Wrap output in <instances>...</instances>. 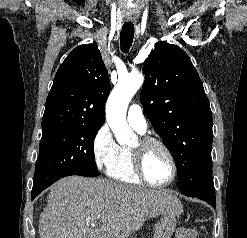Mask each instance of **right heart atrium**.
<instances>
[{"mask_svg": "<svg viewBox=\"0 0 247 238\" xmlns=\"http://www.w3.org/2000/svg\"><path fill=\"white\" fill-rule=\"evenodd\" d=\"M118 147L108 124H102L92 141L93 159L96 167L100 170L106 169L117 153Z\"/></svg>", "mask_w": 247, "mask_h": 238, "instance_id": "d8ad5b80", "label": "right heart atrium"}]
</instances>
